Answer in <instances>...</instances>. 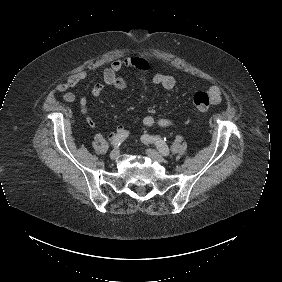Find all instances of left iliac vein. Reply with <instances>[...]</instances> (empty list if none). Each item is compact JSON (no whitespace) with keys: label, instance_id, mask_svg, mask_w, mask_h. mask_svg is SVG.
Wrapping results in <instances>:
<instances>
[{"label":"left iliac vein","instance_id":"obj_1","mask_svg":"<svg viewBox=\"0 0 282 282\" xmlns=\"http://www.w3.org/2000/svg\"><path fill=\"white\" fill-rule=\"evenodd\" d=\"M146 154L151 158V159H153L154 161H157V162H159V163H162L163 161H164V158H163V156L159 153V152H157L156 150H154V149H147L146 150Z\"/></svg>","mask_w":282,"mask_h":282}]
</instances>
